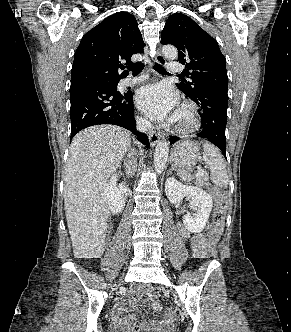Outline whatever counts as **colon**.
Returning <instances> with one entry per match:
<instances>
[{
	"label": "colon",
	"instance_id": "colon-1",
	"mask_svg": "<svg viewBox=\"0 0 291 332\" xmlns=\"http://www.w3.org/2000/svg\"><path fill=\"white\" fill-rule=\"evenodd\" d=\"M212 193L214 194L215 198L217 199V207L214 212L213 216V229L209 232V245H208V257L209 258H215L217 256V241L220 236L224 218H225V213H226V207H227V200L224 195V193L217 189L214 188L212 190Z\"/></svg>",
	"mask_w": 291,
	"mask_h": 332
}]
</instances>
